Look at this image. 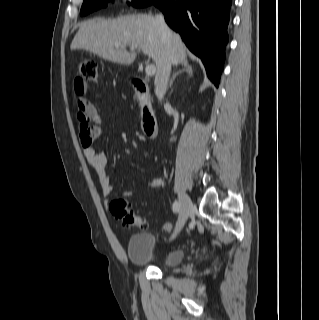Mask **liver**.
Instances as JSON below:
<instances>
[{"label": "liver", "instance_id": "1", "mask_svg": "<svg viewBox=\"0 0 319 320\" xmlns=\"http://www.w3.org/2000/svg\"><path fill=\"white\" fill-rule=\"evenodd\" d=\"M171 33L173 63L178 65L186 60L185 46L178 34ZM127 46L134 48L132 52L126 50ZM166 47L167 42L160 35L155 17L147 14L108 20L91 19L81 25L70 46L71 50L83 49L105 60L124 65L135 61L136 49L142 50L156 65L155 84L161 74Z\"/></svg>", "mask_w": 319, "mask_h": 320}]
</instances>
